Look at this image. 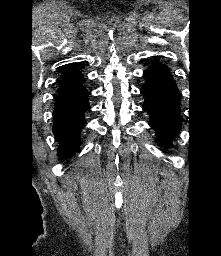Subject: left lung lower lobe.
Masks as SVG:
<instances>
[{
    "label": "left lung lower lobe",
    "mask_w": 221,
    "mask_h": 256,
    "mask_svg": "<svg viewBox=\"0 0 221 256\" xmlns=\"http://www.w3.org/2000/svg\"><path fill=\"white\" fill-rule=\"evenodd\" d=\"M143 76L146 82L140 89L145 97L142 108L149 113V125L158 140L170 146L181 128L179 90L168 68L160 63L152 64Z\"/></svg>",
    "instance_id": "0a47b994"
}]
</instances>
